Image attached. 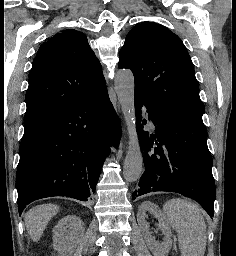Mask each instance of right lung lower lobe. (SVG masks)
<instances>
[{"instance_id":"1","label":"right lung lower lobe","mask_w":236,"mask_h":256,"mask_svg":"<svg viewBox=\"0 0 236 256\" xmlns=\"http://www.w3.org/2000/svg\"><path fill=\"white\" fill-rule=\"evenodd\" d=\"M120 137V121L107 89L24 133L16 173L19 214L46 197L87 201L109 147L118 146Z\"/></svg>"}]
</instances>
